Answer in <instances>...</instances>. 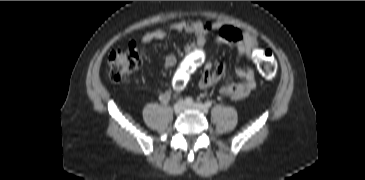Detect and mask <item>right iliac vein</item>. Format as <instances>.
Wrapping results in <instances>:
<instances>
[{
	"instance_id": "right-iliac-vein-1",
	"label": "right iliac vein",
	"mask_w": 365,
	"mask_h": 180,
	"mask_svg": "<svg viewBox=\"0 0 365 180\" xmlns=\"http://www.w3.org/2000/svg\"><path fill=\"white\" fill-rule=\"evenodd\" d=\"M186 104L183 101H179L174 104V111L175 113H181L185 109Z\"/></svg>"
}]
</instances>
